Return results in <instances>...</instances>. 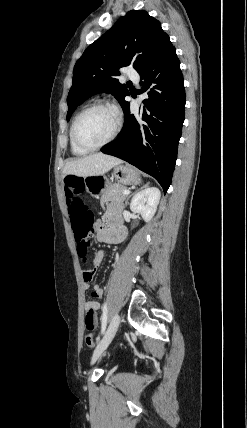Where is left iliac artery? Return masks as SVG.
Instances as JSON below:
<instances>
[{
    "mask_svg": "<svg viewBox=\"0 0 247 428\" xmlns=\"http://www.w3.org/2000/svg\"><path fill=\"white\" fill-rule=\"evenodd\" d=\"M107 313H108V309H107V303H104L103 306V314H102V326H101V334L104 333L105 329H106V325H107Z\"/></svg>",
    "mask_w": 247,
    "mask_h": 428,
    "instance_id": "44dca946",
    "label": "left iliac artery"
}]
</instances>
